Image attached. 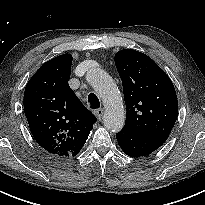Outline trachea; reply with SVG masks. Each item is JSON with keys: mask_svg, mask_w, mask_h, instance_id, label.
<instances>
[{"mask_svg": "<svg viewBox=\"0 0 205 205\" xmlns=\"http://www.w3.org/2000/svg\"><path fill=\"white\" fill-rule=\"evenodd\" d=\"M88 101L91 108L96 109L100 107L99 99L94 93L89 94Z\"/></svg>", "mask_w": 205, "mask_h": 205, "instance_id": "1", "label": "trachea"}]
</instances>
